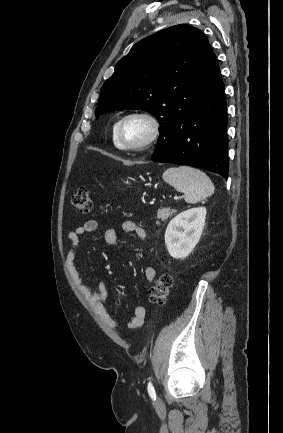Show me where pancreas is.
<instances>
[{"label": "pancreas", "instance_id": "1", "mask_svg": "<svg viewBox=\"0 0 283 433\" xmlns=\"http://www.w3.org/2000/svg\"><path fill=\"white\" fill-rule=\"evenodd\" d=\"M173 212H176L175 208H169V206H167V208H158L157 219H162V221H165V219L171 217Z\"/></svg>", "mask_w": 283, "mask_h": 433}]
</instances>
